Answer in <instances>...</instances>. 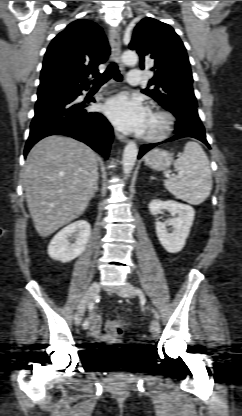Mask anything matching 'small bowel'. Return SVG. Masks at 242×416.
Masks as SVG:
<instances>
[{
    "mask_svg": "<svg viewBox=\"0 0 242 416\" xmlns=\"http://www.w3.org/2000/svg\"><path fill=\"white\" fill-rule=\"evenodd\" d=\"M89 320L91 322V329H90L91 337L96 339V340H99L101 342H110V338L108 336L101 335V332H100V325H101L100 316L97 313H92V314L89 315Z\"/></svg>",
    "mask_w": 242,
    "mask_h": 416,
    "instance_id": "c3829d8e",
    "label": "small bowel"
}]
</instances>
